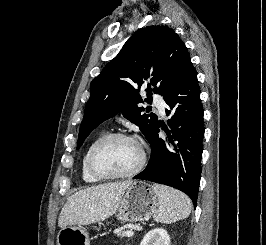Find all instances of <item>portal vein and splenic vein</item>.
<instances>
[{
  "label": "portal vein and splenic vein",
  "instance_id": "1",
  "mask_svg": "<svg viewBox=\"0 0 266 245\" xmlns=\"http://www.w3.org/2000/svg\"><path fill=\"white\" fill-rule=\"evenodd\" d=\"M123 237H133L134 233L133 231H124V233H122Z\"/></svg>",
  "mask_w": 266,
  "mask_h": 245
}]
</instances>
